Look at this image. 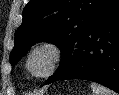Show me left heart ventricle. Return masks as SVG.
I'll return each mask as SVG.
<instances>
[{
    "instance_id": "b2bd125f",
    "label": "left heart ventricle",
    "mask_w": 119,
    "mask_h": 95,
    "mask_svg": "<svg viewBox=\"0 0 119 95\" xmlns=\"http://www.w3.org/2000/svg\"><path fill=\"white\" fill-rule=\"evenodd\" d=\"M50 61V52L45 50L38 51L30 60V68L35 73H42L48 68Z\"/></svg>"
}]
</instances>
